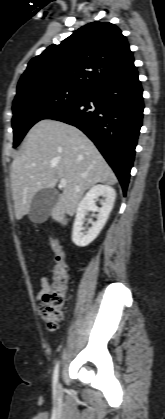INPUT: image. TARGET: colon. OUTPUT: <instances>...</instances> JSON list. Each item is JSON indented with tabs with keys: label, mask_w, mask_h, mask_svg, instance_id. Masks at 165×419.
<instances>
[{
	"label": "colon",
	"mask_w": 165,
	"mask_h": 419,
	"mask_svg": "<svg viewBox=\"0 0 165 419\" xmlns=\"http://www.w3.org/2000/svg\"><path fill=\"white\" fill-rule=\"evenodd\" d=\"M51 246L55 255L53 283L49 291L43 295L38 311L46 327L53 331L59 327L63 319L69 272L58 240L51 238Z\"/></svg>",
	"instance_id": "colon-1"
}]
</instances>
